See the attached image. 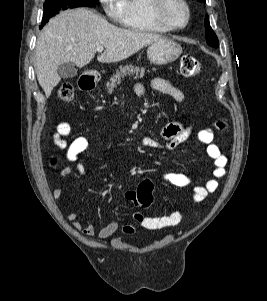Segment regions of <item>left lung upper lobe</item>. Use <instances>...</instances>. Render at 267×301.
Instances as JSON below:
<instances>
[{
    "mask_svg": "<svg viewBox=\"0 0 267 301\" xmlns=\"http://www.w3.org/2000/svg\"><path fill=\"white\" fill-rule=\"evenodd\" d=\"M199 3H203L206 0H197ZM205 28H206V41L207 44L212 46V47H218V38L216 36V34L214 33V31L212 30L210 24H209V17L208 15H206L205 17Z\"/></svg>",
    "mask_w": 267,
    "mask_h": 301,
    "instance_id": "1",
    "label": "left lung upper lobe"
}]
</instances>
